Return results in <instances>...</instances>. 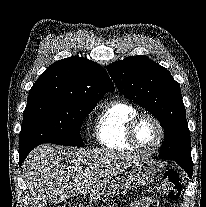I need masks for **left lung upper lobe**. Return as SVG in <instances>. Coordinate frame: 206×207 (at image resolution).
<instances>
[{
  "label": "left lung upper lobe",
  "instance_id": "1",
  "mask_svg": "<svg viewBox=\"0 0 206 207\" xmlns=\"http://www.w3.org/2000/svg\"><path fill=\"white\" fill-rule=\"evenodd\" d=\"M118 89L154 115L164 128L159 156L192 169L191 145L179 83L146 56H131L107 66Z\"/></svg>",
  "mask_w": 206,
  "mask_h": 207
}]
</instances>
